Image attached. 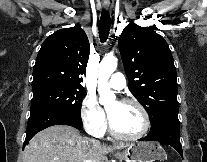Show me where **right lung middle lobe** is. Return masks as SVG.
I'll use <instances>...</instances> for the list:
<instances>
[{"label":"right lung middle lobe","instance_id":"obj_1","mask_svg":"<svg viewBox=\"0 0 207 162\" xmlns=\"http://www.w3.org/2000/svg\"><path fill=\"white\" fill-rule=\"evenodd\" d=\"M85 90L63 85H43L33 88L31 111L56 108L81 118L80 110Z\"/></svg>","mask_w":207,"mask_h":162}]
</instances>
